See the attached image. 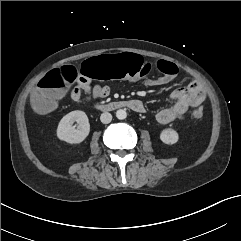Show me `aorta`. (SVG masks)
<instances>
[{"label": "aorta", "instance_id": "762f6f07", "mask_svg": "<svg viewBox=\"0 0 241 241\" xmlns=\"http://www.w3.org/2000/svg\"><path fill=\"white\" fill-rule=\"evenodd\" d=\"M116 117L119 119V120H123L127 117V112L126 110L124 109H119L116 111Z\"/></svg>", "mask_w": 241, "mask_h": 241}]
</instances>
